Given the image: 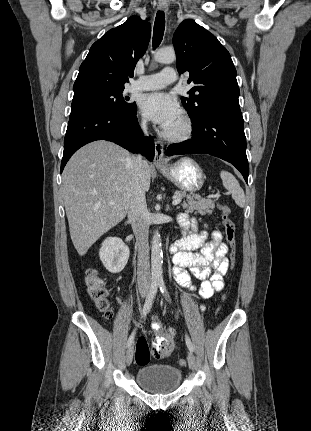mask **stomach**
<instances>
[{
    "label": "stomach",
    "instance_id": "stomach-1",
    "mask_svg": "<svg viewBox=\"0 0 311 431\" xmlns=\"http://www.w3.org/2000/svg\"><path fill=\"white\" fill-rule=\"evenodd\" d=\"M160 174L179 188L180 192H198L204 184V174L197 162L191 158H180L166 168H157Z\"/></svg>",
    "mask_w": 311,
    "mask_h": 431
}]
</instances>
